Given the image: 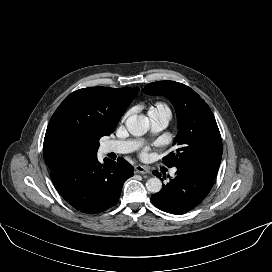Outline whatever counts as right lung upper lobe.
I'll return each mask as SVG.
<instances>
[{"mask_svg": "<svg viewBox=\"0 0 272 272\" xmlns=\"http://www.w3.org/2000/svg\"><path fill=\"white\" fill-rule=\"evenodd\" d=\"M139 88H83L57 108L47 127L43 154L50 170L97 155L99 139L110 135Z\"/></svg>", "mask_w": 272, "mask_h": 272, "instance_id": "right-lung-upper-lobe-1", "label": "right lung upper lobe"}]
</instances>
